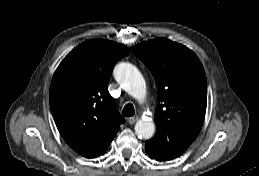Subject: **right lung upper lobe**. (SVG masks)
Listing matches in <instances>:
<instances>
[{"label":"right lung upper lobe","instance_id":"1","mask_svg":"<svg viewBox=\"0 0 259 176\" xmlns=\"http://www.w3.org/2000/svg\"><path fill=\"white\" fill-rule=\"evenodd\" d=\"M129 54L108 40H87L72 50L54 73L50 108L56 126L78 154H103L124 122L108 92L115 63Z\"/></svg>","mask_w":259,"mask_h":176}]
</instances>
